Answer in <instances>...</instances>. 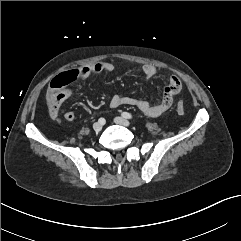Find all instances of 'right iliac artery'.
<instances>
[{"instance_id": "obj_1", "label": "right iliac artery", "mask_w": 241, "mask_h": 241, "mask_svg": "<svg viewBox=\"0 0 241 241\" xmlns=\"http://www.w3.org/2000/svg\"><path fill=\"white\" fill-rule=\"evenodd\" d=\"M98 121H99L101 124H104V123H105V119H104V118H100Z\"/></svg>"}]
</instances>
